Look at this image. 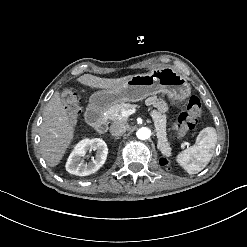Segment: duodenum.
Instances as JSON below:
<instances>
[{"instance_id":"duodenum-1","label":"duodenum","mask_w":247,"mask_h":247,"mask_svg":"<svg viewBox=\"0 0 247 247\" xmlns=\"http://www.w3.org/2000/svg\"><path fill=\"white\" fill-rule=\"evenodd\" d=\"M88 125L98 133H105L108 129L107 122L103 116L102 109L96 105H90L86 110Z\"/></svg>"}]
</instances>
